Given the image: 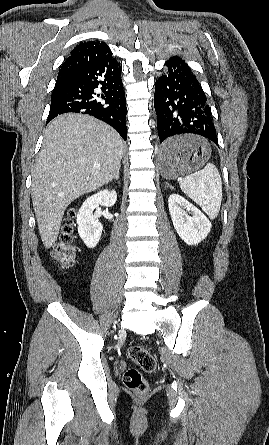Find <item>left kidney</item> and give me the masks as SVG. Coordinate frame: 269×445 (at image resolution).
Masks as SVG:
<instances>
[{"instance_id": "5707ae66", "label": "left kidney", "mask_w": 269, "mask_h": 445, "mask_svg": "<svg viewBox=\"0 0 269 445\" xmlns=\"http://www.w3.org/2000/svg\"><path fill=\"white\" fill-rule=\"evenodd\" d=\"M168 207L176 232L188 245L200 243L210 233L207 217L182 196L171 194Z\"/></svg>"}]
</instances>
